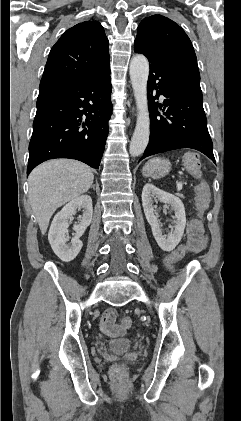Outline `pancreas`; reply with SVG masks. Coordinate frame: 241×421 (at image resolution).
<instances>
[{
  "label": "pancreas",
  "instance_id": "pancreas-1",
  "mask_svg": "<svg viewBox=\"0 0 241 421\" xmlns=\"http://www.w3.org/2000/svg\"><path fill=\"white\" fill-rule=\"evenodd\" d=\"M179 197L184 198V196L182 194H177Z\"/></svg>",
  "mask_w": 241,
  "mask_h": 421
}]
</instances>
